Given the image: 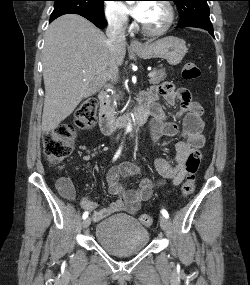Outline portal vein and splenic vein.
Returning <instances> with one entry per match:
<instances>
[{
	"label": "portal vein and splenic vein",
	"instance_id": "obj_1",
	"mask_svg": "<svg viewBox=\"0 0 250 285\" xmlns=\"http://www.w3.org/2000/svg\"><path fill=\"white\" fill-rule=\"evenodd\" d=\"M154 75H155L154 72H149V73H148V77H149V78L153 77Z\"/></svg>",
	"mask_w": 250,
	"mask_h": 285
}]
</instances>
